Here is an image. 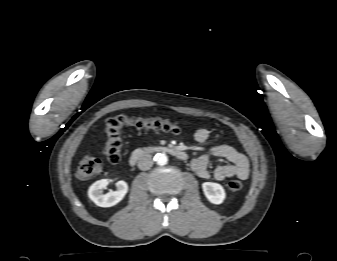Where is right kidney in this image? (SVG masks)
<instances>
[{"label": "right kidney", "mask_w": 337, "mask_h": 261, "mask_svg": "<svg viewBox=\"0 0 337 261\" xmlns=\"http://www.w3.org/2000/svg\"><path fill=\"white\" fill-rule=\"evenodd\" d=\"M109 184V180L101 179L93 183L88 190L89 198L100 207H111L119 203L128 191V185L124 181H118L116 183L117 189L110 191L106 194H102L101 190Z\"/></svg>", "instance_id": "ca27d5eb"}]
</instances>
